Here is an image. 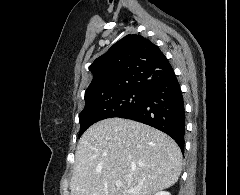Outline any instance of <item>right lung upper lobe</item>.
<instances>
[{
	"mask_svg": "<svg viewBox=\"0 0 240 195\" xmlns=\"http://www.w3.org/2000/svg\"><path fill=\"white\" fill-rule=\"evenodd\" d=\"M93 80L85 99L134 89L147 92L170 78L174 71L160 49L138 35H127L115 43L89 67Z\"/></svg>",
	"mask_w": 240,
	"mask_h": 195,
	"instance_id": "cb5924a9",
	"label": "right lung upper lobe"
}]
</instances>
